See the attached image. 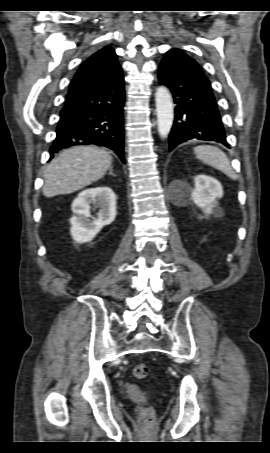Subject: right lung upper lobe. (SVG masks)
Masks as SVG:
<instances>
[{
	"label": "right lung upper lobe",
	"instance_id": "cb5924a9",
	"mask_svg": "<svg viewBox=\"0 0 270 453\" xmlns=\"http://www.w3.org/2000/svg\"><path fill=\"white\" fill-rule=\"evenodd\" d=\"M120 71L121 66L117 62L115 51L110 46H105L79 67L70 82L69 92L100 86Z\"/></svg>",
	"mask_w": 270,
	"mask_h": 453
}]
</instances>
